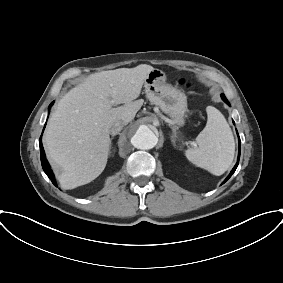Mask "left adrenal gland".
<instances>
[{"label":"left adrenal gland","mask_w":283,"mask_h":283,"mask_svg":"<svg viewBox=\"0 0 283 283\" xmlns=\"http://www.w3.org/2000/svg\"><path fill=\"white\" fill-rule=\"evenodd\" d=\"M176 138H177L176 131L173 129V133L171 136V141L173 142V144H175Z\"/></svg>","instance_id":"a2214340"}]
</instances>
